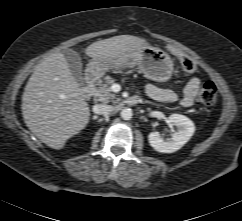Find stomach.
Listing matches in <instances>:
<instances>
[{
  "label": "stomach",
  "instance_id": "obj_1",
  "mask_svg": "<svg viewBox=\"0 0 242 221\" xmlns=\"http://www.w3.org/2000/svg\"><path fill=\"white\" fill-rule=\"evenodd\" d=\"M135 66L145 77L158 82L169 80L174 69L173 60L168 53L157 47L142 46L139 50L120 58H93L87 65V73L94 78H100L111 68L119 70Z\"/></svg>",
  "mask_w": 242,
  "mask_h": 221
}]
</instances>
